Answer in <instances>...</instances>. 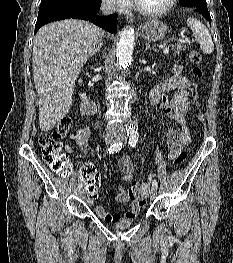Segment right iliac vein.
I'll return each instance as SVG.
<instances>
[{"label":"right iliac vein","mask_w":233,"mask_h":263,"mask_svg":"<svg viewBox=\"0 0 233 263\" xmlns=\"http://www.w3.org/2000/svg\"><path fill=\"white\" fill-rule=\"evenodd\" d=\"M118 140H119V138L115 134H108L105 138V141L107 144H112L114 142H117ZM79 195H80V197H84L85 196V190L80 189Z\"/></svg>","instance_id":"obj_1"}]
</instances>
